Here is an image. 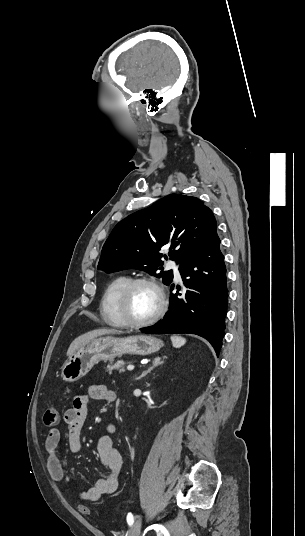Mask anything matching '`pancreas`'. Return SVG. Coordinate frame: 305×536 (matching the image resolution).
<instances>
[{"mask_svg": "<svg viewBox=\"0 0 305 536\" xmlns=\"http://www.w3.org/2000/svg\"><path fill=\"white\" fill-rule=\"evenodd\" d=\"M124 366L125 362H122V360H120V362H116V364L110 362V364L107 366V372H109V374H112L113 370H120V372H124Z\"/></svg>", "mask_w": 305, "mask_h": 536, "instance_id": "obj_1", "label": "pancreas"}]
</instances>
